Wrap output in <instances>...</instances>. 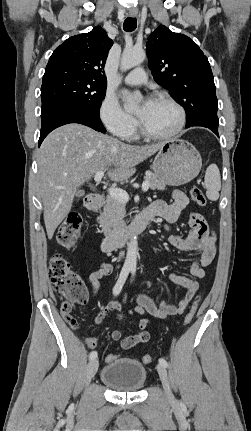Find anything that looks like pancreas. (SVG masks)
I'll use <instances>...</instances> for the list:
<instances>
[{
	"instance_id": "cf45deb5",
	"label": "pancreas",
	"mask_w": 251,
	"mask_h": 431,
	"mask_svg": "<svg viewBox=\"0 0 251 431\" xmlns=\"http://www.w3.org/2000/svg\"><path fill=\"white\" fill-rule=\"evenodd\" d=\"M144 178L149 181V187L152 190H164L166 187L165 184L151 171H147ZM125 216V204L111 196H108L103 212L97 218L104 235L106 237L117 235L125 227V223L123 221Z\"/></svg>"
}]
</instances>
